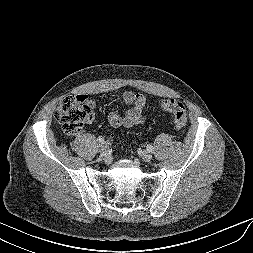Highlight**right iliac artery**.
<instances>
[{
	"label": "right iliac artery",
	"instance_id": "right-iliac-artery-1",
	"mask_svg": "<svg viewBox=\"0 0 253 253\" xmlns=\"http://www.w3.org/2000/svg\"><path fill=\"white\" fill-rule=\"evenodd\" d=\"M97 141H98V143L103 144L105 142V139H104V137L100 136V137H98Z\"/></svg>",
	"mask_w": 253,
	"mask_h": 253
}]
</instances>
